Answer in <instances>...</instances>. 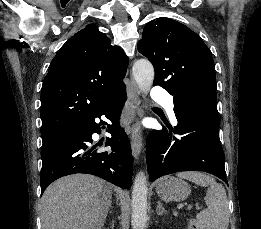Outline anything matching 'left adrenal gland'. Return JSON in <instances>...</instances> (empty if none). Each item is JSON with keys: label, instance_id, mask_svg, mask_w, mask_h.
I'll return each mask as SVG.
<instances>
[{"label": "left adrenal gland", "instance_id": "obj_1", "mask_svg": "<svg viewBox=\"0 0 261 229\" xmlns=\"http://www.w3.org/2000/svg\"><path fill=\"white\" fill-rule=\"evenodd\" d=\"M156 213H157V215H166V211H165L161 201H157Z\"/></svg>", "mask_w": 261, "mask_h": 229}]
</instances>
